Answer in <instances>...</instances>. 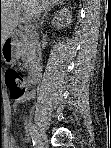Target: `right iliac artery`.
Segmentation results:
<instances>
[{"label":"right iliac artery","instance_id":"82829eb1","mask_svg":"<svg viewBox=\"0 0 111 148\" xmlns=\"http://www.w3.org/2000/svg\"><path fill=\"white\" fill-rule=\"evenodd\" d=\"M28 128L31 131V134L33 135V133L35 132V128L36 127L34 125H32V123H29L28 124ZM32 142H33V146H37V141H36V139L33 136H32Z\"/></svg>","mask_w":111,"mask_h":148}]
</instances>
